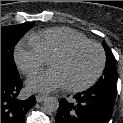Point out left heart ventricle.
Returning a JSON list of instances; mask_svg holds the SVG:
<instances>
[{
	"mask_svg": "<svg viewBox=\"0 0 123 123\" xmlns=\"http://www.w3.org/2000/svg\"><path fill=\"white\" fill-rule=\"evenodd\" d=\"M100 54L96 47L87 45L65 58L49 61L51 68L62 75L66 85H80L92 78L98 69Z\"/></svg>",
	"mask_w": 123,
	"mask_h": 123,
	"instance_id": "obj_1",
	"label": "left heart ventricle"
}]
</instances>
